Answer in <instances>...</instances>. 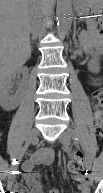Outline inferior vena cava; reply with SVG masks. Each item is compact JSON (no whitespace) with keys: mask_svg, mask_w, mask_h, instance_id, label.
Returning a JSON list of instances; mask_svg holds the SVG:
<instances>
[{"mask_svg":"<svg viewBox=\"0 0 103 193\" xmlns=\"http://www.w3.org/2000/svg\"><path fill=\"white\" fill-rule=\"evenodd\" d=\"M30 30L33 34V38H36L38 34L41 33V19L40 16L34 15L31 16L30 20Z\"/></svg>","mask_w":103,"mask_h":193,"instance_id":"1","label":"inferior vena cava"}]
</instances>
